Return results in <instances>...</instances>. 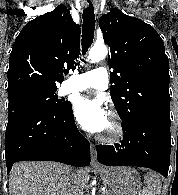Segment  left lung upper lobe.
<instances>
[{"label":"left lung upper lobe","instance_id":"obj_1","mask_svg":"<svg viewBox=\"0 0 178 195\" xmlns=\"http://www.w3.org/2000/svg\"><path fill=\"white\" fill-rule=\"evenodd\" d=\"M110 47V94L124 125L142 118L171 122L164 42L144 21L113 8L99 20Z\"/></svg>","mask_w":178,"mask_h":195}]
</instances>
